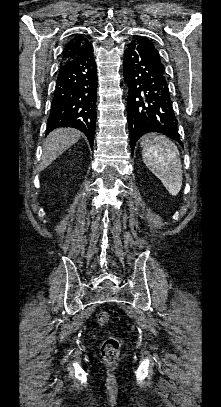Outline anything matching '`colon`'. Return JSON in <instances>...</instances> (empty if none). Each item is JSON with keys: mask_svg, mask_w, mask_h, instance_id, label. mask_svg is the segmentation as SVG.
<instances>
[{"mask_svg": "<svg viewBox=\"0 0 221 407\" xmlns=\"http://www.w3.org/2000/svg\"><path fill=\"white\" fill-rule=\"evenodd\" d=\"M100 325L105 326L109 322V314L107 312H100L97 316ZM120 340L117 337L111 336L106 338L101 344V356L103 360L112 365L119 355Z\"/></svg>", "mask_w": 221, "mask_h": 407, "instance_id": "colon-1", "label": "colon"}]
</instances>
